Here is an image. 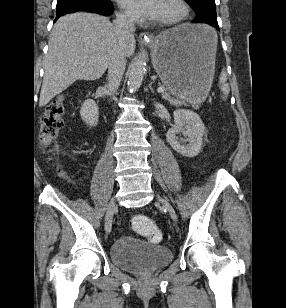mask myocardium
Listing matches in <instances>:
<instances>
[{
	"instance_id": "myocardium-1",
	"label": "myocardium",
	"mask_w": 286,
	"mask_h": 308,
	"mask_svg": "<svg viewBox=\"0 0 286 308\" xmlns=\"http://www.w3.org/2000/svg\"><path fill=\"white\" fill-rule=\"evenodd\" d=\"M170 2L177 7L179 10L178 15L167 18L160 19L158 23L162 26H174L183 22L189 15V7L185 0H170Z\"/></svg>"
}]
</instances>
